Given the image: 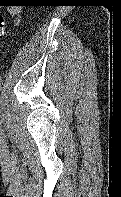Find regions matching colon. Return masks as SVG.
Here are the masks:
<instances>
[{"instance_id": "1", "label": "colon", "mask_w": 121, "mask_h": 197, "mask_svg": "<svg viewBox=\"0 0 121 197\" xmlns=\"http://www.w3.org/2000/svg\"><path fill=\"white\" fill-rule=\"evenodd\" d=\"M5 32H6V19L4 15L0 13V39H2Z\"/></svg>"}]
</instances>
